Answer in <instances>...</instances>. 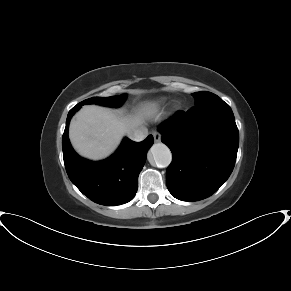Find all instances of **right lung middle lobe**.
<instances>
[{"label":"right lung middle lobe","mask_w":291,"mask_h":291,"mask_svg":"<svg viewBox=\"0 0 291 291\" xmlns=\"http://www.w3.org/2000/svg\"><path fill=\"white\" fill-rule=\"evenodd\" d=\"M126 99V95L112 96V97H93L86 99L77 104V106H82L85 104H98L110 107H119L123 104Z\"/></svg>","instance_id":"right-lung-middle-lobe-1"}]
</instances>
